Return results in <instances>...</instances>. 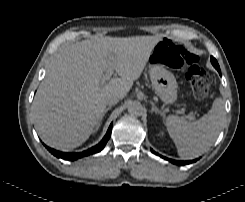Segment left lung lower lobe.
I'll use <instances>...</instances> for the list:
<instances>
[{
	"mask_svg": "<svg viewBox=\"0 0 245 202\" xmlns=\"http://www.w3.org/2000/svg\"><path fill=\"white\" fill-rule=\"evenodd\" d=\"M151 151L153 152V153H155L156 155H159L158 153H156V152H154L152 149H151ZM160 156V155H159ZM162 158H164V159H166V160H168V161H170L171 163H173V164H176V165H186V164H190V163H193V162H195L196 160H190V161H176V160H172V159H169V158H166V157H163V156H161Z\"/></svg>",
	"mask_w": 245,
	"mask_h": 202,
	"instance_id": "obj_1",
	"label": "left lung lower lobe"
}]
</instances>
